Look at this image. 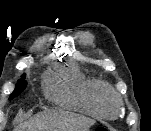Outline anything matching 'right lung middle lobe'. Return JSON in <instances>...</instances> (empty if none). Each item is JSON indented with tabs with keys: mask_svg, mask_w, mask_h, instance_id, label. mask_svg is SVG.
I'll use <instances>...</instances> for the list:
<instances>
[{
	"mask_svg": "<svg viewBox=\"0 0 151 131\" xmlns=\"http://www.w3.org/2000/svg\"><path fill=\"white\" fill-rule=\"evenodd\" d=\"M27 82L25 80V74L21 76V78L17 82V86L15 90L12 92V94L9 97V100H12L13 98L20 95V93L26 88Z\"/></svg>",
	"mask_w": 151,
	"mask_h": 131,
	"instance_id": "dd1d6c3e",
	"label": "right lung middle lobe"
}]
</instances>
